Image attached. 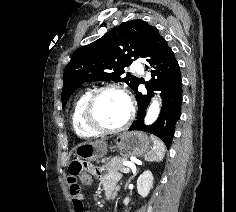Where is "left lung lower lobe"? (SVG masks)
<instances>
[{
    "instance_id": "obj_1",
    "label": "left lung lower lobe",
    "mask_w": 236,
    "mask_h": 212,
    "mask_svg": "<svg viewBox=\"0 0 236 212\" xmlns=\"http://www.w3.org/2000/svg\"><path fill=\"white\" fill-rule=\"evenodd\" d=\"M143 58L146 61V70L153 68L152 79L145 85L147 94L138 92V86L134 90L138 101L137 120L129 130H143L154 134L169 147L175 132V124L180 118L182 80L174 52L156 27L151 31ZM153 91H161L162 108L157 120L152 125L146 126L143 120L147 106L154 95Z\"/></svg>"
}]
</instances>
